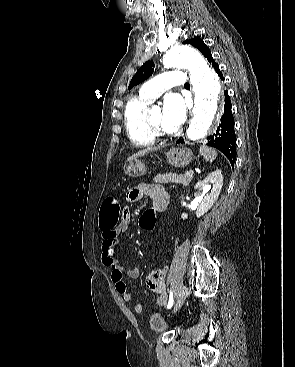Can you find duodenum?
<instances>
[{
    "mask_svg": "<svg viewBox=\"0 0 295 367\" xmlns=\"http://www.w3.org/2000/svg\"><path fill=\"white\" fill-rule=\"evenodd\" d=\"M154 206L157 208V211H161L164 209V207L166 206V204L164 202L161 201H157Z\"/></svg>",
    "mask_w": 295,
    "mask_h": 367,
    "instance_id": "obj_1",
    "label": "duodenum"
}]
</instances>
